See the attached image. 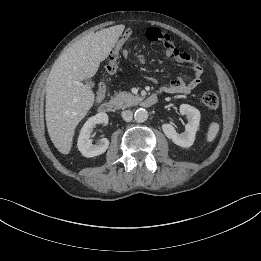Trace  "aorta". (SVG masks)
<instances>
[{
    "label": "aorta",
    "mask_w": 261,
    "mask_h": 261,
    "mask_svg": "<svg viewBox=\"0 0 261 261\" xmlns=\"http://www.w3.org/2000/svg\"><path fill=\"white\" fill-rule=\"evenodd\" d=\"M134 119L137 122H145L148 119L147 110L143 108L137 109L134 113Z\"/></svg>",
    "instance_id": "obj_1"
}]
</instances>
